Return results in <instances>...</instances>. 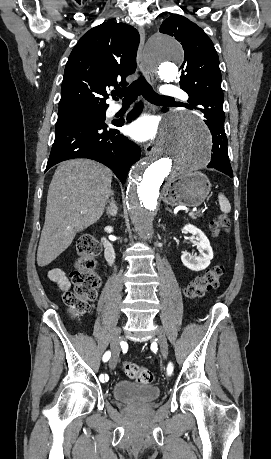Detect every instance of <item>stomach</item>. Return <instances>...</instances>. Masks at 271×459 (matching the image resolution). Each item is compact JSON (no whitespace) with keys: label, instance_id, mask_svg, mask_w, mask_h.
<instances>
[{"label":"stomach","instance_id":"obj_1","mask_svg":"<svg viewBox=\"0 0 271 459\" xmlns=\"http://www.w3.org/2000/svg\"><path fill=\"white\" fill-rule=\"evenodd\" d=\"M211 184L202 172L182 174L168 180L162 190V200L168 206L195 208L206 200Z\"/></svg>","mask_w":271,"mask_h":459}]
</instances>
